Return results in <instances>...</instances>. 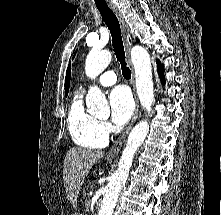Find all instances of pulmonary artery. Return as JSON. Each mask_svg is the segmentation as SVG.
<instances>
[{"mask_svg":"<svg viewBox=\"0 0 221 215\" xmlns=\"http://www.w3.org/2000/svg\"><path fill=\"white\" fill-rule=\"evenodd\" d=\"M117 81V76L114 71H106L104 72L100 78L98 79L97 83L102 86H111L115 84ZM88 84H92L91 81Z\"/></svg>","mask_w":221,"mask_h":215,"instance_id":"1","label":"pulmonary artery"}]
</instances>
